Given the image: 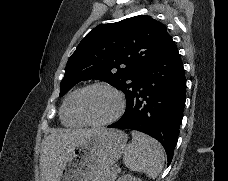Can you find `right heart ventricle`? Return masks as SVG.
<instances>
[{
    "label": "right heart ventricle",
    "instance_id": "right-heart-ventricle-1",
    "mask_svg": "<svg viewBox=\"0 0 228 181\" xmlns=\"http://www.w3.org/2000/svg\"><path fill=\"white\" fill-rule=\"evenodd\" d=\"M80 90L72 92L66 99L62 108V121L65 125L70 127H80L84 122L77 116L75 110V101Z\"/></svg>",
    "mask_w": 228,
    "mask_h": 181
}]
</instances>
